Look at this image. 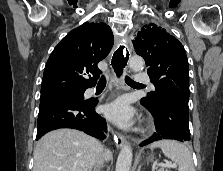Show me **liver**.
<instances>
[{
  "instance_id": "liver-1",
  "label": "liver",
  "mask_w": 223,
  "mask_h": 171,
  "mask_svg": "<svg viewBox=\"0 0 223 171\" xmlns=\"http://www.w3.org/2000/svg\"><path fill=\"white\" fill-rule=\"evenodd\" d=\"M100 142L74 129H58L47 133L34 149L33 171H92ZM106 160L112 159L103 150Z\"/></svg>"
}]
</instances>
